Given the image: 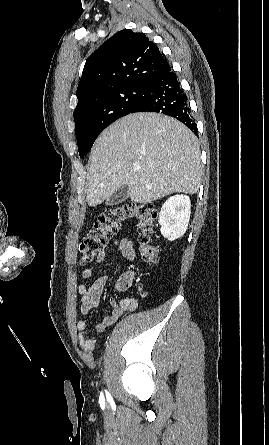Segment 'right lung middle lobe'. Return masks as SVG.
<instances>
[{
    "instance_id": "1",
    "label": "right lung middle lobe",
    "mask_w": 269,
    "mask_h": 445,
    "mask_svg": "<svg viewBox=\"0 0 269 445\" xmlns=\"http://www.w3.org/2000/svg\"><path fill=\"white\" fill-rule=\"evenodd\" d=\"M148 92V85H127L92 98L74 112L80 157L91 149L98 135L117 119L130 114Z\"/></svg>"
}]
</instances>
